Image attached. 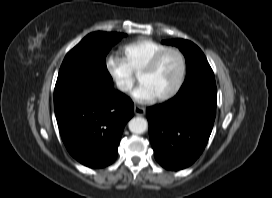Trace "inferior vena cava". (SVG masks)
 I'll return each instance as SVG.
<instances>
[{"mask_svg": "<svg viewBox=\"0 0 272 198\" xmlns=\"http://www.w3.org/2000/svg\"><path fill=\"white\" fill-rule=\"evenodd\" d=\"M118 88L122 91H128L130 89V86L127 85V84H123V83H120V84H117Z\"/></svg>", "mask_w": 272, "mask_h": 198, "instance_id": "obj_1", "label": "inferior vena cava"}]
</instances>
